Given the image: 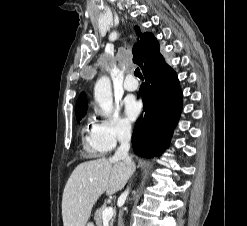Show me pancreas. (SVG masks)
<instances>
[{
    "label": "pancreas",
    "instance_id": "1",
    "mask_svg": "<svg viewBox=\"0 0 247 226\" xmlns=\"http://www.w3.org/2000/svg\"><path fill=\"white\" fill-rule=\"evenodd\" d=\"M104 209H106V205H103L102 207H100L95 211L94 220L97 226H102V219H103L102 213ZM113 223H114V218L110 220V226H113Z\"/></svg>",
    "mask_w": 247,
    "mask_h": 226
}]
</instances>
